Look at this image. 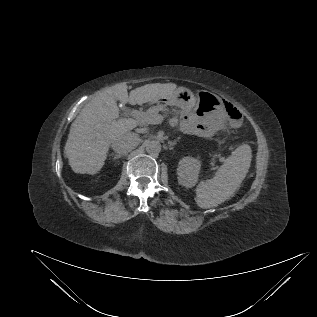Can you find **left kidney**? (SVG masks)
Masks as SVG:
<instances>
[{
  "mask_svg": "<svg viewBox=\"0 0 317 317\" xmlns=\"http://www.w3.org/2000/svg\"><path fill=\"white\" fill-rule=\"evenodd\" d=\"M201 162L193 157H184L177 168L178 182L182 186L192 188L198 181Z\"/></svg>",
  "mask_w": 317,
  "mask_h": 317,
  "instance_id": "5707ae66",
  "label": "left kidney"
}]
</instances>
